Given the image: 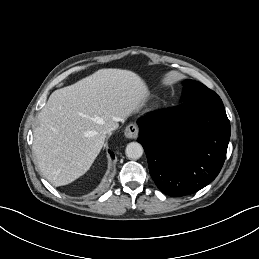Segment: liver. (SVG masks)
<instances>
[{"label":"liver","instance_id":"liver-1","mask_svg":"<svg viewBox=\"0 0 259 259\" xmlns=\"http://www.w3.org/2000/svg\"><path fill=\"white\" fill-rule=\"evenodd\" d=\"M145 98L146 88L137 74L111 68L55 90L33 134V152L44 177L63 186L84 175L104 145V128H117Z\"/></svg>","mask_w":259,"mask_h":259}]
</instances>
